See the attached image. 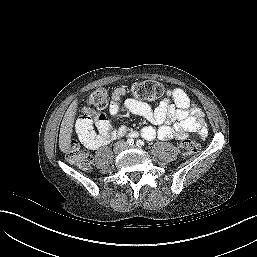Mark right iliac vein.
Segmentation results:
<instances>
[{
	"label": "right iliac vein",
	"mask_w": 257,
	"mask_h": 257,
	"mask_svg": "<svg viewBox=\"0 0 257 257\" xmlns=\"http://www.w3.org/2000/svg\"><path fill=\"white\" fill-rule=\"evenodd\" d=\"M123 148H124V145L123 144H120V145H118L116 148H115V153H118V152H120L121 150H123Z\"/></svg>",
	"instance_id": "63e3f726"
}]
</instances>
